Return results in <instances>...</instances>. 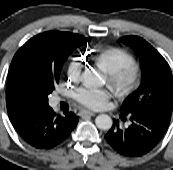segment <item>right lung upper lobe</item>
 <instances>
[{
  "label": "right lung upper lobe",
  "mask_w": 173,
  "mask_h": 170,
  "mask_svg": "<svg viewBox=\"0 0 173 170\" xmlns=\"http://www.w3.org/2000/svg\"><path fill=\"white\" fill-rule=\"evenodd\" d=\"M87 42L89 39L83 36L60 31L44 32L27 41L14 55L9 68L7 111L37 104L36 93L41 82L49 75L58 79L67 57Z\"/></svg>",
  "instance_id": "1"
}]
</instances>
